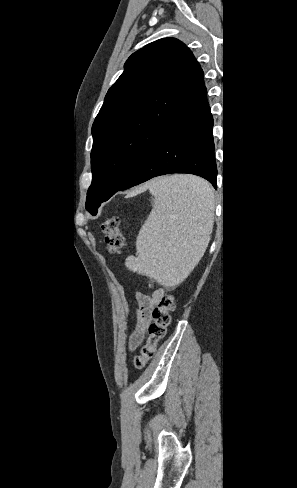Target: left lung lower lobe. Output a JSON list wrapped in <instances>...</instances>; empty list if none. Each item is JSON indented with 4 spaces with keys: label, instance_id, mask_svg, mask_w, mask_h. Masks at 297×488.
<instances>
[{
    "label": "left lung lower lobe",
    "instance_id": "1",
    "mask_svg": "<svg viewBox=\"0 0 297 488\" xmlns=\"http://www.w3.org/2000/svg\"><path fill=\"white\" fill-rule=\"evenodd\" d=\"M212 127L213 118L208 104L172 132L119 190L169 173L195 174L205 178L216 188L217 169Z\"/></svg>",
    "mask_w": 297,
    "mask_h": 488
}]
</instances>
